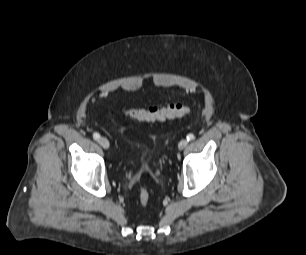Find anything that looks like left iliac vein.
I'll return each instance as SVG.
<instances>
[{
  "label": "left iliac vein",
  "instance_id": "obj_1",
  "mask_svg": "<svg viewBox=\"0 0 306 255\" xmlns=\"http://www.w3.org/2000/svg\"><path fill=\"white\" fill-rule=\"evenodd\" d=\"M187 145H188V140L182 139L178 144V148L179 150H183Z\"/></svg>",
  "mask_w": 306,
  "mask_h": 255
}]
</instances>
